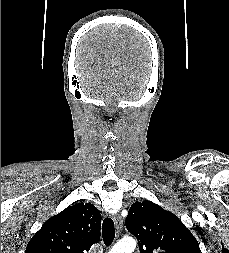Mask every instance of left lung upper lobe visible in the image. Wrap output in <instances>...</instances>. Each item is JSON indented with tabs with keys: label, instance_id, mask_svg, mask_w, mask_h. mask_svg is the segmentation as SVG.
I'll list each match as a JSON object with an SVG mask.
<instances>
[{
	"label": "left lung upper lobe",
	"instance_id": "obj_1",
	"mask_svg": "<svg viewBox=\"0 0 229 253\" xmlns=\"http://www.w3.org/2000/svg\"><path fill=\"white\" fill-rule=\"evenodd\" d=\"M125 224L141 253H200L197 240L181 220L151 201L133 203Z\"/></svg>",
	"mask_w": 229,
	"mask_h": 253
}]
</instances>
